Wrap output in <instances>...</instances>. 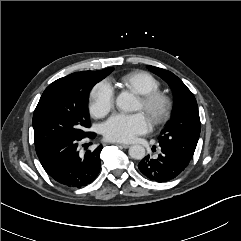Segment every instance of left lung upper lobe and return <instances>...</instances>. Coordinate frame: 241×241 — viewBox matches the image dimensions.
Returning a JSON list of instances; mask_svg holds the SVG:
<instances>
[{
  "label": "left lung upper lobe",
  "instance_id": "5c2ea615",
  "mask_svg": "<svg viewBox=\"0 0 241 241\" xmlns=\"http://www.w3.org/2000/svg\"><path fill=\"white\" fill-rule=\"evenodd\" d=\"M171 87L175 110L169 124L158 137L159 146L166 147L189 163L200 135V118L196 99L187 86L172 72L149 66Z\"/></svg>",
  "mask_w": 241,
  "mask_h": 241
}]
</instances>
